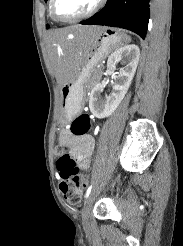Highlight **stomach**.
<instances>
[{"mask_svg":"<svg viewBox=\"0 0 183 246\" xmlns=\"http://www.w3.org/2000/svg\"><path fill=\"white\" fill-rule=\"evenodd\" d=\"M125 40L123 32L114 28H102L93 39L92 43L86 45L83 53V61L77 66L74 77L61 88L63 102L60 125H66L75 117L82 108L85 95V84L88 81L94 66L115 47Z\"/></svg>","mask_w":183,"mask_h":246,"instance_id":"0dacf381","label":"stomach"}]
</instances>
